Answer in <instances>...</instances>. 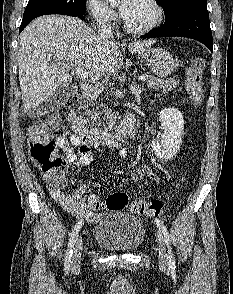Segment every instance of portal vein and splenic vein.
Segmentation results:
<instances>
[{
  "label": "portal vein and splenic vein",
  "instance_id": "obj_1",
  "mask_svg": "<svg viewBox=\"0 0 233 294\" xmlns=\"http://www.w3.org/2000/svg\"><path fill=\"white\" fill-rule=\"evenodd\" d=\"M65 65V64H63ZM67 69H72L73 72L77 73L79 76L83 77V78H87V72L82 69L81 67H72V65H66ZM147 75H142L140 76L138 79L139 80H147Z\"/></svg>",
  "mask_w": 233,
  "mask_h": 294
}]
</instances>
